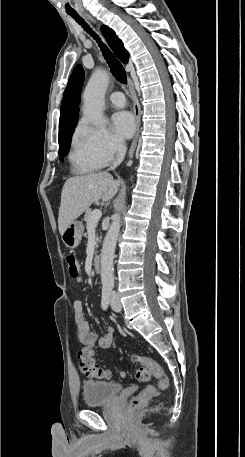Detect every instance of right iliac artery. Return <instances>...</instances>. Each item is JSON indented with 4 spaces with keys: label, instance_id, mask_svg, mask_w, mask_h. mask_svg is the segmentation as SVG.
<instances>
[{
    "label": "right iliac artery",
    "instance_id": "obj_1",
    "mask_svg": "<svg viewBox=\"0 0 245 457\" xmlns=\"http://www.w3.org/2000/svg\"><path fill=\"white\" fill-rule=\"evenodd\" d=\"M111 292H112V288H110V287H104L102 289L101 305L104 310H106L108 308L109 303L111 301Z\"/></svg>",
    "mask_w": 245,
    "mask_h": 457
}]
</instances>
